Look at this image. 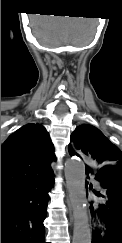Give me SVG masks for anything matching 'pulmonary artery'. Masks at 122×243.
<instances>
[{
	"mask_svg": "<svg viewBox=\"0 0 122 243\" xmlns=\"http://www.w3.org/2000/svg\"><path fill=\"white\" fill-rule=\"evenodd\" d=\"M94 183H95L96 186H99V184L96 181H94Z\"/></svg>",
	"mask_w": 122,
	"mask_h": 243,
	"instance_id": "pulmonary-artery-1",
	"label": "pulmonary artery"
}]
</instances>
